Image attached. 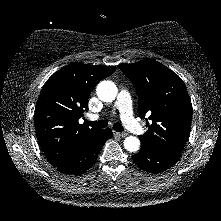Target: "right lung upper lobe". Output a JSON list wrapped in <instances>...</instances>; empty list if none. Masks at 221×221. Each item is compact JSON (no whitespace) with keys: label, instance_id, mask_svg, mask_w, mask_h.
<instances>
[{"label":"right lung upper lobe","instance_id":"right-lung-upper-lobe-1","mask_svg":"<svg viewBox=\"0 0 221 221\" xmlns=\"http://www.w3.org/2000/svg\"><path fill=\"white\" fill-rule=\"evenodd\" d=\"M115 70V66L72 63L44 84L36 103L34 124L37 140L54 167L99 130L78 121L94 87Z\"/></svg>","mask_w":221,"mask_h":221}]
</instances>
